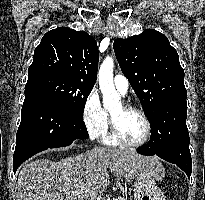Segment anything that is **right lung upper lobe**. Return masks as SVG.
Returning <instances> with one entry per match:
<instances>
[{"label":"right lung upper lobe","instance_id":"obj_1","mask_svg":"<svg viewBox=\"0 0 205 200\" xmlns=\"http://www.w3.org/2000/svg\"><path fill=\"white\" fill-rule=\"evenodd\" d=\"M33 57L28 79L55 74L90 86L96 82L99 61L97 42L84 31L59 27L47 32Z\"/></svg>","mask_w":205,"mask_h":200}]
</instances>
